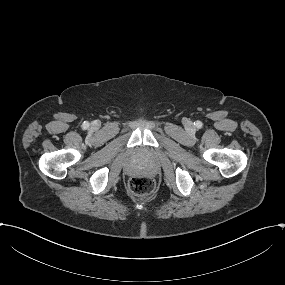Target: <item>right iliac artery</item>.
Listing matches in <instances>:
<instances>
[{
  "label": "right iliac artery",
  "mask_w": 285,
  "mask_h": 285,
  "mask_svg": "<svg viewBox=\"0 0 285 285\" xmlns=\"http://www.w3.org/2000/svg\"><path fill=\"white\" fill-rule=\"evenodd\" d=\"M83 127H84V128H88V127H89V123L85 121V122L83 123Z\"/></svg>",
  "instance_id": "1"
}]
</instances>
